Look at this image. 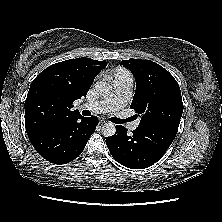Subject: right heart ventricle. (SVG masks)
I'll return each instance as SVG.
<instances>
[{"label": "right heart ventricle", "mask_w": 222, "mask_h": 222, "mask_svg": "<svg viewBox=\"0 0 222 222\" xmlns=\"http://www.w3.org/2000/svg\"><path fill=\"white\" fill-rule=\"evenodd\" d=\"M119 73H127V72H125L124 70H122V69H119L118 71H117V74H119ZM116 74V75H117Z\"/></svg>", "instance_id": "right-heart-ventricle-1"}]
</instances>
